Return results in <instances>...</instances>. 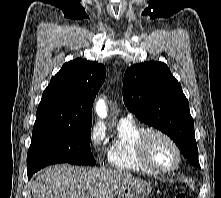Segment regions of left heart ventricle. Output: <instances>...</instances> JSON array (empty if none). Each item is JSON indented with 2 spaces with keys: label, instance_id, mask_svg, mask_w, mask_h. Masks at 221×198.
Returning a JSON list of instances; mask_svg holds the SVG:
<instances>
[{
  "label": "left heart ventricle",
  "instance_id": "b2bd125f",
  "mask_svg": "<svg viewBox=\"0 0 221 198\" xmlns=\"http://www.w3.org/2000/svg\"><path fill=\"white\" fill-rule=\"evenodd\" d=\"M148 155L152 163L161 168H170L176 163L174 148L160 136H153L149 140Z\"/></svg>",
  "mask_w": 221,
  "mask_h": 198
}]
</instances>
